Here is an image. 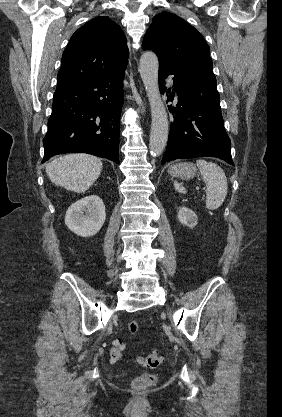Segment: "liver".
Listing matches in <instances>:
<instances>
[{"label":"liver","mask_w":282,"mask_h":417,"mask_svg":"<svg viewBox=\"0 0 282 417\" xmlns=\"http://www.w3.org/2000/svg\"><path fill=\"white\" fill-rule=\"evenodd\" d=\"M101 158L92 154H65L48 162L45 170L51 182L74 192H85L100 176Z\"/></svg>","instance_id":"obj_1"}]
</instances>
